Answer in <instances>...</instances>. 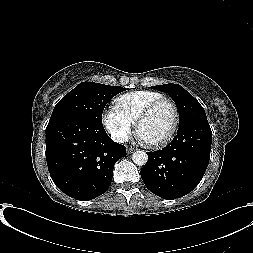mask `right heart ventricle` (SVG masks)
I'll list each match as a JSON object with an SVG mask.
<instances>
[{
	"label": "right heart ventricle",
	"instance_id": "1",
	"mask_svg": "<svg viewBox=\"0 0 253 253\" xmlns=\"http://www.w3.org/2000/svg\"><path fill=\"white\" fill-rule=\"evenodd\" d=\"M159 92L150 90H136L125 93L115 100L116 108L130 121L136 122L140 112L152 101L162 98Z\"/></svg>",
	"mask_w": 253,
	"mask_h": 253
}]
</instances>
